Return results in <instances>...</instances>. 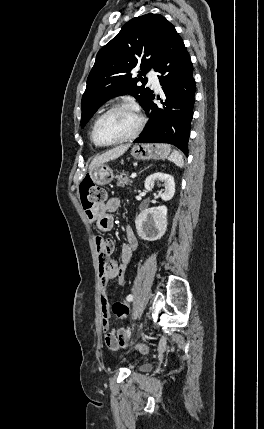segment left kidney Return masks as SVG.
<instances>
[{"label": "left kidney", "instance_id": "left-kidney-1", "mask_svg": "<svg viewBox=\"0 0 264 429\" xmlns=\"http://www.w3.org/2000/svg\"><path fill=\"white\" fill-rule=\"evenodd\" d=\"M160 180L165 184V191L159 193L164 201L172 199L175 193V182L173 176L162 172H156L149 175L145 180V188L151 190V185ZM137 234L147 241L160 239L167 228V207L159 206L143 210L135 221Z\"/></svg>", "mask_w": 264, "mask_h": 429}]
</instances>
